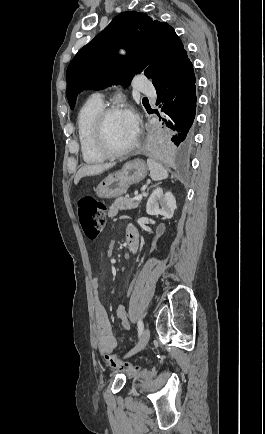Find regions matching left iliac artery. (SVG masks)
Returning <instances> with one entry per match:
<instances>
[{
    "label": "left iliac artery",
    "mask_w": 265,
    "mask_h": 434,
    "mask_svg": "<svg viewBox=\"0 0 265 434\" xmlns=\"http://www.w3.org/2000/svg\"><path fill=\"white\" fill-rule=\"evenodd\" d=\"M143 329H144V324H143L142 320H139L138 321V335L139 336L142 334Z\"/></svg>",
    "instance_id": "44dca946"
}]
</instances>
